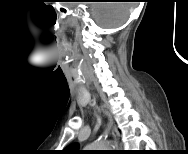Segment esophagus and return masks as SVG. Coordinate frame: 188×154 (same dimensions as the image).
Instances as JSON below:
<instances>
[{
    "instance_id": "esophagus-1",
    "label": "esophagus",
    "mask_w": 188,
    "mask_h": 154,
    "mask_svg": "<svg viewBox=\"0 0 188 154\" xmlns=\"http://www.w3.org/2000/svg\"><path fill=\"white\" fill-rule=\"evenodd\" d=\"M113 138H114L115 143L117 144L118 143V138H117V134H116V132L114 130H113Z\"/></svg>"
}]
</instances>
